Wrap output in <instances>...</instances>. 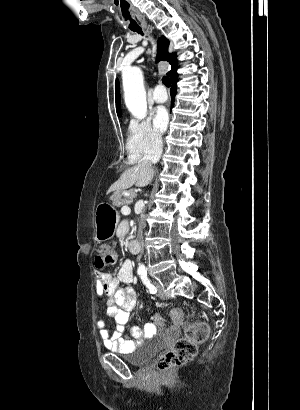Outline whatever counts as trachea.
Here are the masks:
<instances>
[{"instance_id": "obj_1", "label": "trachea", "mask_w": 300, "mask_h": 410, "mask_svg": "<svg viewBox=\"0 0 300 410\" xmlns=\"http://www.w3.org/2000/svg\"><path fill=\"white\" fill-rule=\"evenodd\" d=\"M132 31L143 35V32H142L141 29H133ZM162 83L168 88L171 86V81H170V78L168 76H165V77L162 78Z\"/></svg>"}]
</instances>
